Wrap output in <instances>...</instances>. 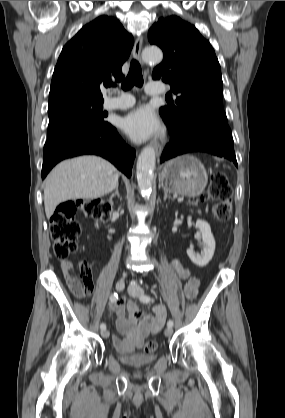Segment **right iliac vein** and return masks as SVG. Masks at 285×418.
Segmentation results:
<instances>
[{"instance_id": "right-iliac-vein-1", "label": "right iliac vein", "mask_w": 285, "mask_h": 418, "mask_svg": "<svg viewBox=\"0 0 285 418\" xmlns=\"http://www.w3.org/2000/svg\"><path fill=\"white\" fill-rule=\"evenodd\" d=\"M124 286H125V279L124 278H121L116 282L117 291H122L124 289ZM109 334H110L109 331L106 330V329L101 331V335H102L103 338H108Z\"/></svg>"}]
</instances>
